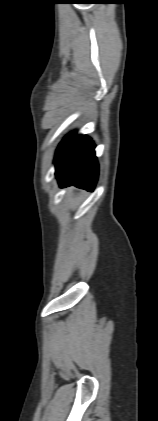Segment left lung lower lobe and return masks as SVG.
I'll return each instance as SVG.
<instances>
[{
    "label": "left lung lower lobe",
    "mask_w": 158,
    "mask_h": 421,
    "mask_svg": "<svg viewBox=\"0 0 158 421\" xmlns=\"http://www.w3.org/2000/svg\"><path fill=\"white\" fill-rule=\"evenodd\" d=\"M95 145L90 138L70 133L55 155L56 177L60 187L75 185L92 191L98 178Z\"/></svg>",
    "instance_id": "0a47b994"
}]
</instances>
